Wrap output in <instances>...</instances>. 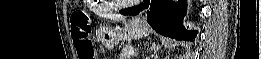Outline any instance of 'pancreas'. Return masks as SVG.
<instances>
[{
	"instance_id": "pancreas-1",
	"label": "pancreas",
	"mask_w": 261,
	"mask_h": 59,
	"mask_svg": "<svg viewBox=\"0 0 261 59\" xmlns=\"http://www.w3.org/2000/svg\"><path fill=\"white\" fill-rule=\"evenodd\" d=\"M133 50V46L130 44H127L121 54H120V59H130L129 51Z\"/></svg>"
}]
</instances>
